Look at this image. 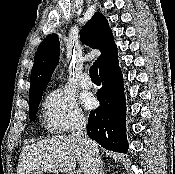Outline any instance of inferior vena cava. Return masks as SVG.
Here are the masks:
<instances>
[{"instance_id": "obj_1", "label": "inferior vena cava", "mask_w": 175, "mask_h": 174, "mask_svg": "<svg viewBox=\"0 0 175 174\" xmlns=\"http://www.w3.org/2000/svg\"><path fill=\"white\" fill-rule=\"evenodd\" d=\"M86 125L87 122L84 118L77 119L72 127V135L85 146V149L90 155L91 166L88 174H100L101 160L99 150L96 143L88 138Z\"/></svg>"}]
</instances>
